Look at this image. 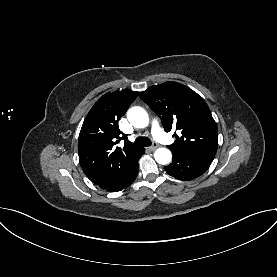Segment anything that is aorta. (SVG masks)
<instances>
[{"instance_id":"1","label":"aorta","mask_w":277,"mask_h":277,"mask_svg":"<svg viewBox=\"0 0 277 277\" xmlns=\"http://www.w3.org/2000/svg\"><path fill=\"white\" fill-rule=\"evenodd\" d=\"M127 118L129 122L136 128H144L149 123V117L147 112L142 107H132L127 112ZM154 157L157 163L166 165L169 164L172 159V154L167 148H158Z\"/></svg>"}]
</instances>
